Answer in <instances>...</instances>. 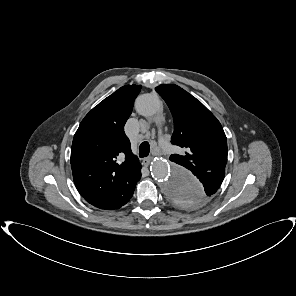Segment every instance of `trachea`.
<instances>
[{
    "label": "trachea",
    "instance_id": "trachea-1",
    "mask_svg": "<svg viewBox=\"0 0 296 296\" xmlns=\"http://www.w3.org/2000/svg\"><path fill=\"white\" fill-rule=\"evenodd\" d=\"M150 153V145L147 141H144L139 146V156L141 158L147 157Z\"/></svg>",
    "mask_w": 296,
    "mask_h": 296
}]
</instances>
